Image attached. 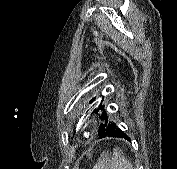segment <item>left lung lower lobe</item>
I'll list each match as a JSON object with an SVG mask.
<instances>
[{
    "instance_id": "0a47b994",
    "label": "left lung lower lobe",
    "mask_w": 177,
    "mask_h": 169,
    "mask_svg": "<svg viewBox=\"0 0 177 169\" xmlns=\"http://www.w3.org/2000/svg\"><path fill=\"white\" fill-rule=\"evenodd\" d=\"M105 137L125 138L130 141V138L121 129H119L115 123H111L110 126L108 125L104 134L99 136V138Z\"/></svg>"
}]
</instances>
